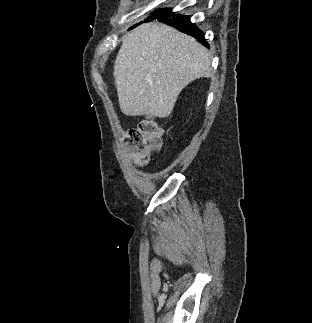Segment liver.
<instances>
[{
    "instance_id": "6515ba94",
    "label": "liver",
    "mask_w": 312,
    "mask_h": 323,
    "mask_svg": "<svg viewBox=\"0 0 312 323\" xmlns=\"http://www.w3.org/2000/svg\"><path fill=\"white\" fill-rule=\"evenodd\" d=\"M211 56L192 36L160 22L123 38L113 76L122 114L167 118L190 82L211 76Z\"/></svg>"
}]
</instances>
